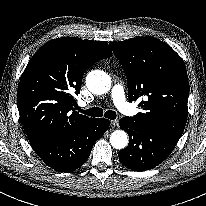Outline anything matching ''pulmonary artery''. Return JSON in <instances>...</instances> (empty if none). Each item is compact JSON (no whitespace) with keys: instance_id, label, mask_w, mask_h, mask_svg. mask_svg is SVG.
<instances>
[{"instance_id":"e3ab8cb5","label":"pulmonary artery","mask_w":206,"mask_h":206,"mask_svg":"<svg viewBox=\"0 0 206 206\" xmlns=\"http://www.w3.org/2000/svg\"><path fill=\"white\" fill-rule=\"evenodd\" d=\"M111 97L115 106L125 114H131L132 110L128 102H126L124 89L121 85L115 84L111 89Z\"/></svg>"}]
</instances>
